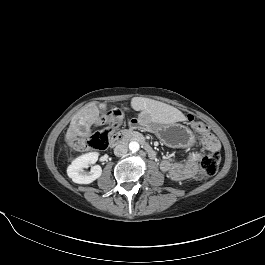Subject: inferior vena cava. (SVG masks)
Wrapping results in <instances>:
<instances>
[{
	"label": "inferior vena cava",
	"instance_id": "1",
	"mask_svg": "<svg viewBox=\"0 0 265 265\" xmlns=\"http://www.w3.org/2000/svg\"><path fill=\"white\" fill-rule=\"evenodd\" d=\"M128 151V148L126 145L124 144H119L117 145L115 148H114V154L117 156V157H121V156H124L126 155Z\"/></svg>",
	"mask_w": 265,
	"mask_h": 265
}]
</instances>
